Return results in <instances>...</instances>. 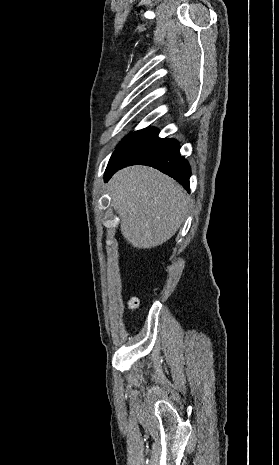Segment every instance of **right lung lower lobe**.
I'll list each match as a JSON object with an SVG mask.
<instances>
[{
	"label": "right lung lower lobe",
	"mask_w": 279,
	"mask_h": 465,
	"mask_svg": "<svg viewBox=\"0 0 279 465\" xmlns=\"http://www.w3.org/2000/svg\"><path fill=\"white\" fill-rule=\"evenodd\" d=\"M139 164L152 166L161 172L173 177L189 191V178L191 175V169L187 160L180 155L178 144L172 149ZM123 167L126 166H107L104 175L105 181H108L109 178L118 169Z\"/></svg>",
	"instance_id": "right-lung-lower-lobe-1"
}]
</instances>
